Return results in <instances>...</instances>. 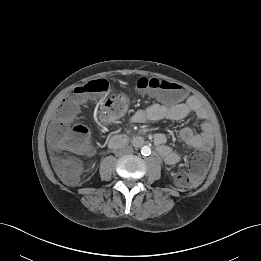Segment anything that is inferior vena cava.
Returning <instances> with one entry per match:
<instances>
[{
    "instance_id": "1",
    "label": "inferior vena cava",
    "mask_w": 261,
    "mask_h": 261,
    "mask_svg": "<svg viewBox=\"0 0 261 261\" xmlns=\"http://www.w3.org/2000/svg\"><path fill=\"white\" fill-rule=\"evenodd\" d=\"M120 151L123 153V154H131L133 153V148L131 146H125V147H122L120 149Z\"/></svg>"
}]
</instances>
